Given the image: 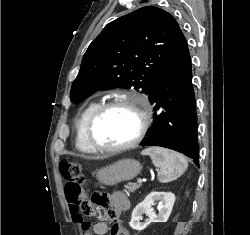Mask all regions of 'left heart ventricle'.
I'll return each instance as SVG.
<instances>
[{
	"mask_svg": "<svg viewBox=\"0 0 250 235\" xmlns=\"http://www.w3.org/2000/svg\"><path fill=\"white\" fill-rule=\"evenodd\" d=\"M139 128L138 114L128 107H114L104 113L94 127L95 140L104 146L131 141Z\"/></svg>",
	"mask_w": 250,
	"mask_h": 235,
	"instance_id": "1",
	"label": "left heart ventricle"
}]
</instances>
